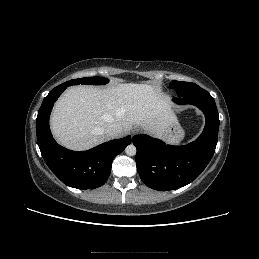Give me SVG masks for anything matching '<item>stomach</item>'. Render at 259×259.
Wrapping results in <instances>:
<instances>
[{
    "label": "stomach",
    "mask_w": 259,
    "mask_h": 259,
    "mask_svg": "<svg viewBox=\"0 0 259 259\" xmlns=\"http://www.w3.org/2000/svg\"><path fill=\"white\" fill-rule=\"evenodd\" d=\"M185 132L175 119L165 129L164 133L160 136L170 144H179L184 138Z\"/></svg>",
    "instance_id": "obj_1"
}]
</instances>
